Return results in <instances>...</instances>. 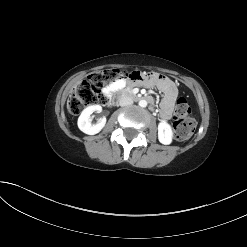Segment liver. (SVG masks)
<instances>
[{"instance_id":"6515ba94","label":"liver","mask_w":247,"mask_h":247,"mask_svg":"<svg viewBox=\"0 0 247 247\" xmlns=\"http://www.w3.org/2000/svg\"><path fill=\"white\" fill-rule=\"evenodd\" d=\"M81 83V81L80 82H78L75 86H74V88H76L77 87V85H79ZM68 107H69V104H68Z\"/></svg>"}]
</instances>
